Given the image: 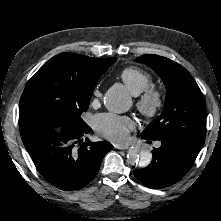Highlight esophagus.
Listing matches in <instances>:
<instances>
[{"label": "esophagus", "instance_id": "1", "mask_svg": "<svg viewBox=\"0 0 221 221\" xmlns=\"http://www.w3.org/2000/svg\"><path fill=\"white\" fill-rule=\"evenodd\" d=\"M115 148L119 150H126L129 148V145H115Z\"/></svg>", "mask_w": 221, "mask_h": 221}]
</instances>
